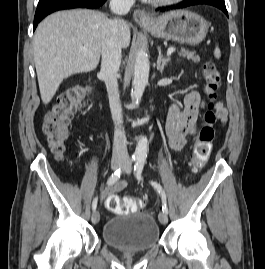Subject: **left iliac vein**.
<instances>
[{
  "label": "left iliac vein",
  "mask_w": 265,
  "mask_h": 269,
  "mask_svg": "<svg viewBox=\"0 0 265 269\" xmlns=\"http://www.w3.org/2000/svg\"><path fill=\"white\" fill-rule=\"evenodd\" d=\"M124 171L127 174H130V172H131V165L128 162V160L124 161ZM159 221L161 222V224H164V225L168 223V217L164 212H161L159 214Z\"/></svg>",
  "instance_id": "4c4485c4"
}]
</instances>
